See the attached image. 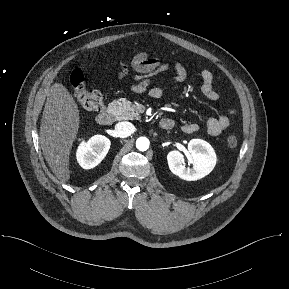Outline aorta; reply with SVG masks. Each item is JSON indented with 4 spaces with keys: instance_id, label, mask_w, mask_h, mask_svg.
<instances>
[{
    "instance_id": "obj_1",
    "label": "aorta",
    "mask_w": 289,
    "mask_h": 289,
    "mask_svg": "<svg viewBox=\"0 0 289 289\" xmlns=\"http://www.w3.org/2000/svg\"><path fill=\"white\" fill-rule=\"evenodd\" d=\"M149 140L146 137H139L136 140V147L140 151H146L149 148Z\"/></svg>"
}]
</instances>
